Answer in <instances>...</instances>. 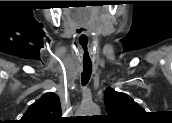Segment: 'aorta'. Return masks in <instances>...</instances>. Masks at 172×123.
Here are the masks:
<instances>
[{"label": "aorta", "instance_id": "obj_1", "mask_svg": "<svg viewBox=\"0 0 172 123\" xmlns=\"http://www.w3.org/2000/svg\"><path fill=\"white\" fill-rule=\"evenodd\" d=\"M83 112L86 115H97L100 113L99 107L94 103H84Z\"/></svg>", "mask_w": 172, "mask_h": 123}]
</instances>
